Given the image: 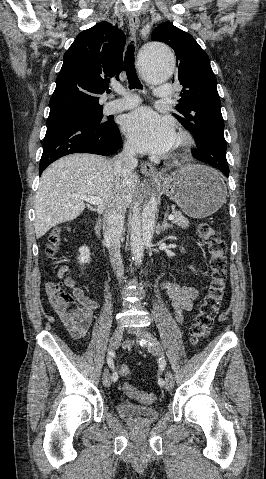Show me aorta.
Returning a JSON list of instances; mask_svg holds the SVG:
<instances>
[{"label":"aorta","mask_w":266,"mask_h":479,"mask_svg":"<svg viewBox=\"0 0 266 479\" xmlns=\"http://www.w3.org/2000/svg\"><path fill=\"white\" fill-rule=\"evenodd\" d=\"M138 64L147 81L160 84L169 80L174 73V54L167 45L150 42L141 48ZM157 207L155 193L144 188L138 200L139 217L133 219L130 237L131 252L138 265L142 262L145 244L151 242L154 235Z\"/></svg>","instance_id":"1"}]
</instances>
